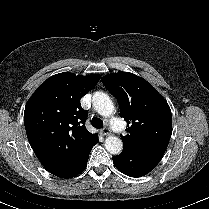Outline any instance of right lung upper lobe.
Returning <instances> with one entry per match:
<instances>
[{"label":"right lung upper lobe","instance_id":"cb5924a9","mask_svg":"<svg viewBox=\"0 0 209 209\" xmlns=\"http://www.w3.org/2000/svg\"><path fill=\"white\" fill-rule=\"evenodd\" d=\"M100 75L59 73L33 93L24 111L27 138L42 165L53 175L65 173L98 137L85 128L87 111L80 99Z\"/></svg>","mask_w":209,"mask_h":209}]
</instances>
